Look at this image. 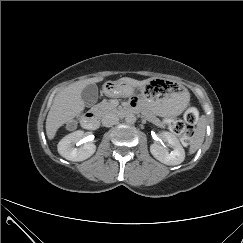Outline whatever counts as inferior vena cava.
<instances>
[{
    "mask_svg": "<svg viewBox=\"0 0 243 243\" xmlns=\"http://www.w3.org/2000/svg\"><path fill=\"white\" fill-rule=\"evenodd\" d=\"M119 121V118L116 114L113 113H109L106 114L103 118H102V124L105 127H110L112 125L117 124Z\"/></svg>",
    "mask_w": 243,
    "mask_h": 243,
    "instance_id": "602c4592",
    "label": "inferior vena cava"
}]
</instances>
